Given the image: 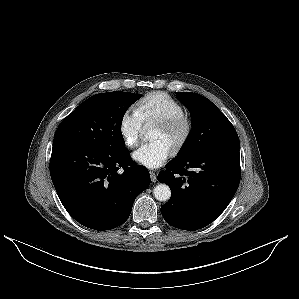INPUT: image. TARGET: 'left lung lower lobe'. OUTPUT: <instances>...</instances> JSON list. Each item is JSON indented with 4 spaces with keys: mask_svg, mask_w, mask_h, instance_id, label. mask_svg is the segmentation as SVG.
<instances>
[{
    "mask_svg": "<svg viewBox=\"0 0 299 299\" xmlns=\"http://www.w3.org/2000/svg\"><path fill=\"white\" fill-rule=\"evenodd\" d=\"M240 177L237 134L198 155L176 158L158 175V181L172 190L170 200L161 207L163 218L171 226L189 231L209 225L232 200Z\"/></svg>",
    "mask_w": 299,
    "mask_h": 299,
    "instance_id": "obj_1",
    "label": "left lung lower lobe"
}]
</instances>
